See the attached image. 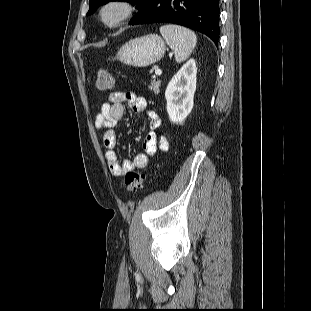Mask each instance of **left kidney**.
Instances as JSON below:
<instances>
[{"instance_id":"obj_1","label":"left kidney","mask_w":311,"mask_h":311,"mask_svg":"<svg viewBox=\"0 0 311 311\" xmlns=\"http://www.w3.org/2000/svg\"><path fill=\"white\" fill-rule=\"evenodd\" d=\"M196 62L188 60L172 77L165 91L167 112L171 122L182 124L193 108L196 90Z\"/></svg>"}]
</instances>
